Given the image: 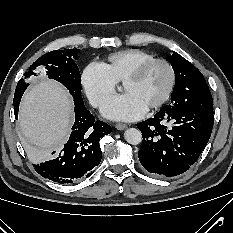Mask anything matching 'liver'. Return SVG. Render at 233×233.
Segmentation results:
<instances>
[{"instance_id": "6515ba94", "label": "liver", "mask_w": 233, "mask_h": 233, "mask_svg": "<svg viewBox=\"0 0 233 233\" xmlns=\"http://www.w3.org/2000/svg\"><path fill=\"white\" fill-rule=\"evenodd\" d=\"M72 100L54 80L42 79L25 93L19 111L22 133L35 146L29 155L39 162L54 148L63 146L71 129Z\"/></svg>"}]
</instances>
